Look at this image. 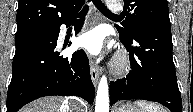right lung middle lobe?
I'll list each match as a JSON object with an SVG mask.
<instances>
[{"label":"right lung middle lobe","instance_id":"obj_1","mask_svg":"<svg viewBox=\"0 0 193 112\" xmlns=\"http://www.w3.org/2000/svg\"><path fill=\"white\" fill-rule=\"evenodd\" d=\"M48 27H44V28H34V29H29V30H23V31H18L15 34V44L26 40L32 36H35L41 32H43L44 30H46Z\"/></svg>","mask_w":193,"mask_h":112}]
</instances>
